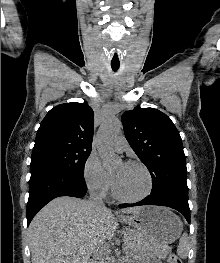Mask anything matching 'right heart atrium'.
I'll list each match as a JSON object with an SVG mask.
<instances>
[{
  "label": "right heart atrium",
  "mask_w": 220,
  "mask_h": 263,
  "mask_svg": "<svg viewBox=\"0 0 220 263\" xmlns=\"http://www.w3.org/2000/svg\"><path fill=\"white\" fill-rule=\"evenodd\" d=\"M83 180L92 193L103 194L111 184L110 174L101 163L100 158L94 152L90 153L83 165Z\"/></svg>",
  "instance_id": "right-heart-atrium-1"
}]
</instances>
